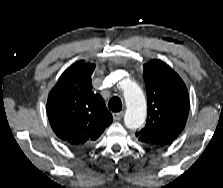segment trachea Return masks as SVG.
Listing matches in <instances>:
<instances>
[{
    "instance_id": "1",
    "label": "trachea",
    "mask_w": 223,
    "mask_h": 188,
    "mask_svg": "<svg viewBox=\"0 0 223 188\" xmlns=\"http://www.w3.org/2000/svg\"><path fill=\"white\" fill-rule=\"evenodd\" d=\"M108 108L113 112H119L122 110V102L121 99L117 96L112 97L109 100Z\"/></svg>"
}]
</instances>
